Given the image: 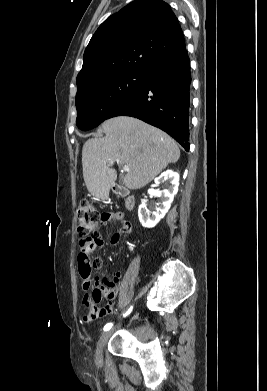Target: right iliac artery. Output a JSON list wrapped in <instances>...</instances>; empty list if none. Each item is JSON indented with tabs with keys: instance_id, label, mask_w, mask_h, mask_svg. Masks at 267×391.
I'll use <instances>...</instances> for the list:
<instances>
[{
	"instance_id": "obj_1",
	"label": "right iliac artery",
	"mask_w": 267,
	"mask_h": 391,
	"mask_svg": "<svg viewBox=\"0 0 267 391\" xmlns=\"http://www.w3.org/2000/svg\"><path fill=\"white\" fill-rule=\"evenodd\" d=\"M131 311H132V307L126 312V314L124 316H127ZM112 325H113L112 323L106 324L104 326V331H107V330L111 329Z\"/></svg>"
}]
</instances>
